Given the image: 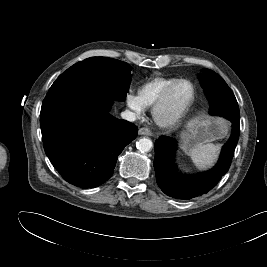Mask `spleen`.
Returning a JSON list of instances; mask_svg holds the SVG:
<instances>
[{"mask_svg":"<svg viewBox=\"0 0 267 267\" xmlns=\"http://www.w3.org/2000/svg\"><path fill=\"white\" fill-rule=\"evenodd\" d=\"M220 144H199L189 151L193 163L200 169L211 166L217 159Z\"/></svg>","mask_w":267,"mask_h":267,"instance_id":"spleen-1","label":"spleen"}]
</instances>
